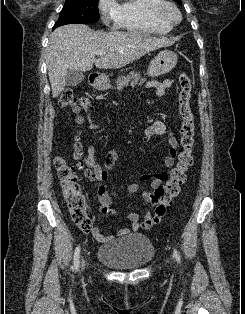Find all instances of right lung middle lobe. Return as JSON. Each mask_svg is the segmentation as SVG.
<instances>
[{
	"label": "right lung middle lobe",
	"instance_id": "1",
	"mask_svg": "<svg viewBox=\"0 0 245 314\" xmlns=\"http://www.w3.org/2000/svg\"><path fill=\"white\" fill-rule=\"evenodd\" d=\"M98 20V0H66L53 28L71 23L84 24Z\"/></svg>",
	"mask_w": 245,
	"mask_h": 314
}]
</instances>
